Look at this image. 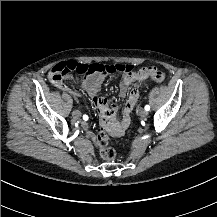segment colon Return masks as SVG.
Segmentation results:
<instances>
[{"label": "colon", "instance_id": "obj_1", "mask_svg": "<svg viewBox=\"0 0 217 217\" xmlns=\"http://www.w3.org/2000/svg\"><path fill=\"white\" fill-rule=\"evenodd\" d=\"M156 70L154 67H148L142 74H148L150 71ZM140 70H134L133 66L126 63H116L112 65L100 64L98 61H92L90 64H80L74 59H67L57 62L56 65L50 67L48 79L51 82H61L72 74L88 76L96 73H137ZM164 73L158 72L154 77V82L164 80ZM97 145L100 148V157L103 160H113L116 152L112 147L107 148V136L104 131L98 132Z\"/></svg>", "mask_w": 217, "mask_h": 217}]
</instances>
